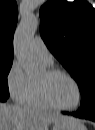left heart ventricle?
<instances>
[{
    "mask_svg": "<svg viewBox=\"0 0 95 130\" xmlns=\"http://www.w3.org/2000/svg\"><path fill=\"white\" fill-rule=\"evenodd\" d=\"M37 82L43 83L51 99L63 107H72L78 101V91L74 83L64 75L49 77L44 72Z\"/></svg>",
    "mask_w": 95,
    "mask_h": 130,
    "instance_id": "obj_1",
    "label": "left heart ventricle"
}]
</instances>
